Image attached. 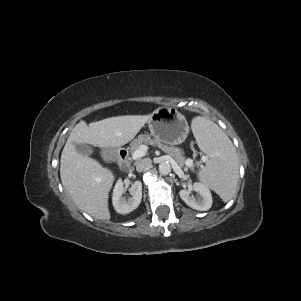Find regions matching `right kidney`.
Wrapping results in <instances>:
<instances>
[{"mask_svg": "<svg viewBox=\"0 0 301 301\" xmlns=\"http://www.w3.org/2000/svg\"><path fill=\"white\" fill-rule=\"evenodd\" d=\"M131 197L126 199L123 197L124 186L121 179L117 181L113 190L112 203L117 213L128 214L135 210L142 199V183L136 181L130 188Z\"/></svg>", "mask_w": 301, "mask_h": 301, "instance_id": "obj_1", "label": "right kidney"}]
</instances>
